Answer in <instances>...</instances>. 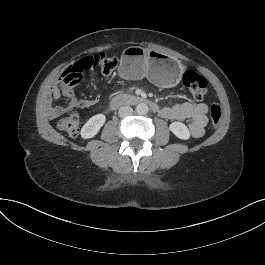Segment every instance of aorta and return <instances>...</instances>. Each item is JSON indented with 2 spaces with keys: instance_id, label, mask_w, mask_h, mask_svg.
Listing matches in <instances>:
<instances>
[{
  "instance_id": "762f6f07",
  "label": "aorta",
  "mask_w": 265,
  "mask_h": 265,
  "mask_svg": "<svg viewBox=\"0 0 265 265\" xmlns=\"http://www.w3.org/2000/svg\"><path fill=\"white\" fill-rule=\"evenodd\" d=\"M148 111H149V108L145 103H139L136 106V113L138 115H146L148 113Z\"/></svg>"
}]
</instances>
